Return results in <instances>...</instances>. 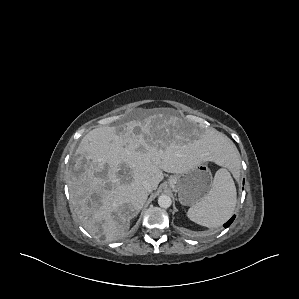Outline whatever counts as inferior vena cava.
Masks as SVG:
<instances>
[{
    "label": "inferior vena cava",
    "mask_w": 299,
    "mask_h": 299,
    "mask_svg": "<svg viewBox=\"0 0 299 299\" xmlns=\"http://www.w3.org/2000/svg\"><path fill=\"white\" fill-rule=\"evenodd\" d=\"M142 185L148 193L152 191V186L148 180L143 181Z\"/></svg>",
    "instance_id": "inferior-vena-cava-1"
}]
</instances>
